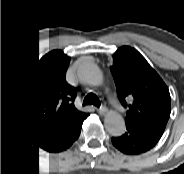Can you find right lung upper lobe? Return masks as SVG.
<instances>
[{"instance_id": "right-lung-upper-lobe-1", "label": "right lung upper lobe", "mask_w": 184, "mask_h": 174, "mask_svg": "<svg viewBox=\"0 0 184 174\" xmlns=\"http://www.w3.org/2000/svg\"><path fill=\"white\" fill-rule=\"evenodd\" d=\"M69 60L59 52L45 55L32 69L17 97L21 129L35 144L47 142L86 116L76 110V89L65 79Z\"/></svg>"}]
</instances>
